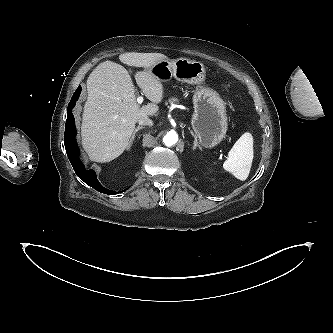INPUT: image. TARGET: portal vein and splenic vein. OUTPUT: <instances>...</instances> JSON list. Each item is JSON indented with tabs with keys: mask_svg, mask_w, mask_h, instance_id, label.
Segmentation results:
<instances>
[{
	"mask_svg": "<svg viewBox=\"0 0 333 333\" xmlns=\"http://www.w3.org/2000/svg\"><path fill=\"white\" fill-rule=\"evenodd\" d=\"M143 102V97L142 96H139L138 98H137V103L138 104H141Z\"/></svg>",
	"mask_w": 333,
	"mask_h": 333,
	"instance_id": "obj_1",
	"label": "portal vein and splenic vein"
}]
</instances>
